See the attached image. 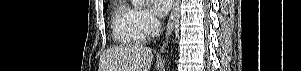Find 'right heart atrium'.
I'll return each instance as SVG.
<instances>
[{
	"label": "right heart atrium",
	"mask_w": 301,
	"mask_h": 71,
	"mask_svg": "<svg viewBox=\"0 0 301 71\" xmlns=\"http://www.w3.org/2000/svg\"><path fill=\"white\" fill-rule=\"evenodd\" d=\"M138 21L146 36H153L160 26L159 19L149 9L138 10Z\"/></svg>",
	"instance_id": "obj_1"
}]
</instances>
